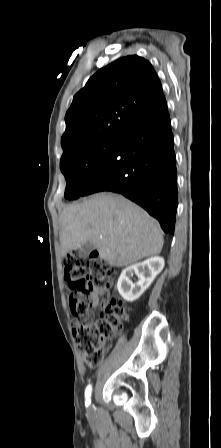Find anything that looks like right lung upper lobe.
<instances>
[{"mask_svg":"<svg viewBox=\"0 0 221 448\" xmlns=\"http://www.w3.org/2000/svg\"><path fill=\"white\" fill-rule=\"evenodd\" d=\"M165 101L149 61L136 55L119 58L94 74L74 96L65 115L63 155L84 143L119 136Z\"/></svg>","mask_w":221,"mask_h":448,"instance_id":"obj_1","label":"right lung upper lobe"}]
</instances>
